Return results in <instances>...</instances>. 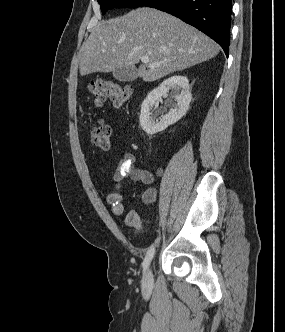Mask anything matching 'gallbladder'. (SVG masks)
I'll return each instance as SVG.
<instances>
[{
  "label": "gallbladder",
  "instance_id": "gallbladder-1",
  "mask_svg": "<svg viewBox=\"0 0 285 332\" xmlns=\"http://www.w3.org/2000/svg\"><path fill=\"white\" fill-rule=\"evenodd\" d=\"M113 77L120 82H130L137 79V69L135 67H121L113 71Z\"/></svg>",
  "mask_w": 285,
  "mask_h": 332
}]
</instances>
